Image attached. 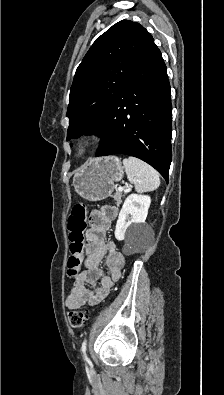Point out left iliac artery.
<instances>
[{"label": "left iliac artery", "instance_id": "left-iliac-artery-1", "mask_svg": "<svg viewBox=\"0 0 224 395\" xmlns=\"http://www.w3.org/2000/svg\"><path fill=\"white\" fill-rule=\"evenodd\" d=\"M86 345H87V341H86V339L83 341V343H82V347H81V351H82V353H83V356H84V358H85V360H87V355H86Z\"/></svg>", "mask_w": 224, "mask_h": 395}]
</instances>
